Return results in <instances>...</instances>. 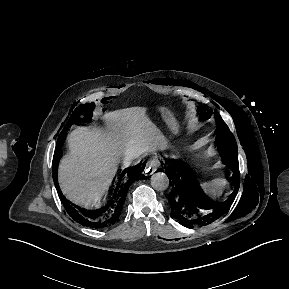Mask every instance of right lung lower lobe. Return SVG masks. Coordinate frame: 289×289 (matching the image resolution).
<instances>
[{
    "instance_id": "98d812e1",
    "label": "right lung lower lobe",
    "mask_w": 289,
    "mask_h": 289,
    "mask_svg": "<svg viewBox=\"0 0 289 289\" xmlns=\"http://www.w3.org/2000/svg\"><path fill=\"white\" fill-rule=\"evenodd\" d=\"M67 131L60 133L57 140V146L53 158V179L58 192V195L67 211L77 223L91 228H105L112 227L119 222L121 211L123 208L124 201L126 199L127 191L130 185L139 180L143 175L142 172L145 168L143 165L138 164L133 168H126L123 170L113 194L109 197L107 202L97 209H84L76 206L75 204L68 201L62 194L58 181H57V167L59 159L62 155L61 146L66 136Z\"/></svg>"
}]
</instances>
